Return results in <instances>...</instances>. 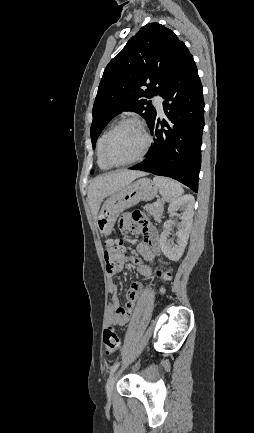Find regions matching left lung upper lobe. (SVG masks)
I'll return each instance as SVG.
<instances>
[{
    "label": "left lung upper lobe",
    "instance_id": "left-lung-upper-lobe-1",
    "mask_svg": "<svg viewBox=\"0 0 254 433\" xmlns=\"http://www.w3.org/2000/svg\"><path fill=\"white\" fill-rule=\"evenodd\" d=\"M187 52L174 32L158 23L143 26L127 42L99 84L90 129L93 148L106 124L123 111H135L151 124L156 110L145 98L162 95Z\"/></svg>",
    "mask_w": 254,
    "mask_h": 433
}]
</instances>
